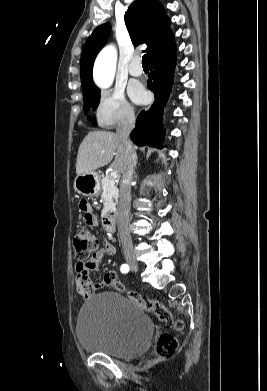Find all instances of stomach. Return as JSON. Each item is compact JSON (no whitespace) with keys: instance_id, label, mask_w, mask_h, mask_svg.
Masks as SVG:
<instances>
[{"instance_id":"obj_1","label":"stomach","mask_w":267,"mask_h":391,"mask_svg":"<svg viewBox=\"0 0 267 391\" xmlns=\"http://www.w3.org/2000/svg\"><path fill=\"white\" fill-rule=\"evenodd\" d=\"M74 188L76 192L83 196H98L101 190L99 174L93 171L77 176L74 181Z\"/></svg>"}]
</instances>
